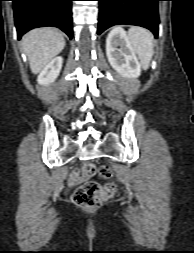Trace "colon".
I'll list each match as a JSON object with an SVG mask.
<instances>
[{
    "instance_id": "colon-1",
    "label": "colon",
    "mask_w": 194,
    "mask_h": 253,
    "mask_svg": "<svg viewBox=\"0 0 194 253\" xmlns=\"http://www.w3.org/2000/svg\"><path fill=\"white\" fill-rule=\"evenodd\" d=\"M96 168L92 164H84L82 167L81 177L89 180L94 176ZM102 178L108 179L112 176V171L108 166H102L99 169ZM116 187L112 182L100 185L96 182H86L79 186L73 193L74 203L82 208L92 209L100 206L107 201L114 193Z\"/></svg>"
}]
</instances>
